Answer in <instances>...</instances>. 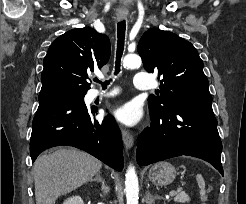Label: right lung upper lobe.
Listing matches in <instances>:
<instances>
[{
    "instance_id": "obj_1",
    "label": "right lung upper lobe",
    "mask_w": 246,
    "mask_h": 204,
    "mask_svg": "<svg viewBox=\"0 0 246 204\" xmlns=\"http://www.w3.org/2000/svg\"><path fill=\"white\" fill-rule=\"evenodd\" d=\"M109 38L90 27L72 29L58 37L43 61L39 99L85 93L88 73L102 68L110 57Z\"/></svg>"
}]
</instances>
